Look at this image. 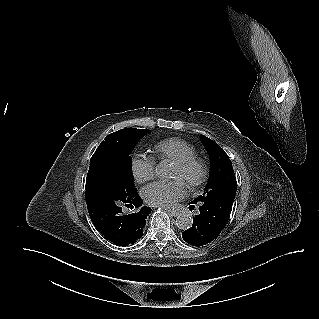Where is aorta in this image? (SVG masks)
<instances>
[{"label": "aorta", "mask_w": 319, "mask_h": 319, "mask_svg": "<svg viewBox=\"0 0 319 319\" xmlns=\"http://www.w3.org/2000/svg\"><path fill=\"white\" fill-rule=\"evenodd\" d=\"M155 174L156 176H158L159 178H163L165 177V173H164V170L161 166H158L155 170ZM192 224H193V220H192V217L190 216V214L188 213H181L177 216V219H176V226L179 228V229H182V230H187L189 228L192 227Z\"/></svg>", "instance_id": "aorta-1"}]
</instances>
